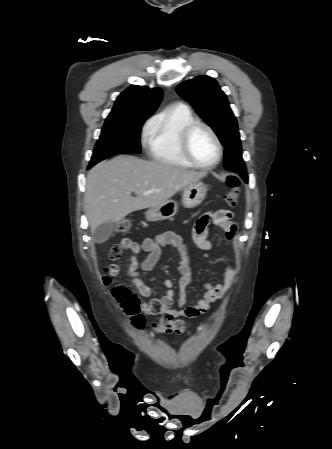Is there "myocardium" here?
Listing matches in <instances>:
<instances>
[{"mask_svg": "<svg viewBox=\"0 0 332 449\" xmlns=\"http://www.w3.org/2000/svg\"><path fill=\"white\" fill-rule=\"evenodd\" d=\"M199 127H202L206 131H208V133L213 138V140L216 144V147H217L216 159L212 163L207 164V165L201 164L198 161H196V159L193 157L191 150H190V137H191L193 131ZM179 147H180V151H181L182 155L184 156V158L192 166L199 168V169H203V170H210V169L216 167L219 164V162L221 161L222 156H223V146H222L220 138L217 135V133L215 132V130L209 124L202 122V121H198V120H194L193 122L189 123L182 129V131L180 133V138H179Z\"/></svg>", "mask_w": 332, "mask_h": 449, "instance_id": "1", "label": "myocardium"}]
</instances>
